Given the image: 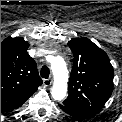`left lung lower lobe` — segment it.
<instances>
[{"label":"left lung lower lobe","mask_w":122,"mask_h":122,"mask_svg":"<svg viewBox=\"0 0 122 122\" xmlns=\"http://www.w3.org/2000/svg\"><path fill=\"white\" fill-rule=\"evenodd\" d=\"M59 107L64 111L66 112L67 114L73 116V117H76V118H79V119H84V118H87L88 116H86L85 114L83 113H80V112H77V111H74L64 105H59Z\"/></svg>","instance_id":"0a47b994"}]
</instances>
